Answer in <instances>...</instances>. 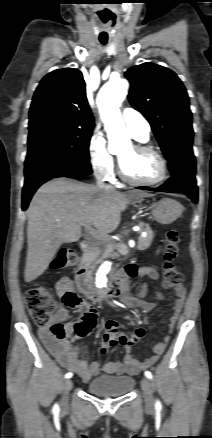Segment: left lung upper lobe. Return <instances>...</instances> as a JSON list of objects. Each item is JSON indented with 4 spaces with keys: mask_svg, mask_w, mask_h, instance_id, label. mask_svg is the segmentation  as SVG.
<instances>
[{
    "mask_svg": "<svg viewBox=\"0 0 212 438\" xmlns=\"http://www.w3.org/2000/svg\"><path fill=\"white\" fill-rule=\"evenodd\" d=\"M131 105L149 121L165 158L192 148V113L181 80L170 69L143 63L126 71Z\"/></svg>",
    "mask_w": 212,
    "mask_h": 438,
    "instance_id": "5c2ea615",
    "label": "left lung upper lobe"
}]
</instances>
